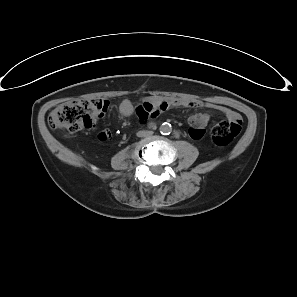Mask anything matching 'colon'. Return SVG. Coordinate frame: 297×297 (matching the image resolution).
<instances>
[{
    "mask_svg": "<svg viewBox=\"0 0 297 297\" xmlns=\"http://www.w3.org/2000/svg\"><path fill=\"white\" fill-rule=\"evenodd\" d=\"M108 107L109 102L100 98L69 101L57 106L49 114L48 123L53 129H64L75 133L94 127L107 112ZM241 126L240 115L234 119L217 123L211 131L212 142L218 146L229 144L240 133ZM106 137V134L100 135L101 140Z\"/></svg>",
    "mask_w": 297,
    "mask_h": 297,
    "instance_id": "5ec220e1",
    "label": "colon"
}]
</instances>
